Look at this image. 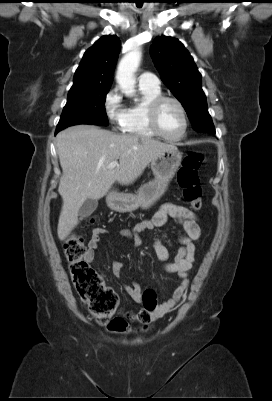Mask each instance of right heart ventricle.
<instances>
[{
    "label": "right heart ventricle",
    "instance_id": "e07e8e85",
    "mask_svg": "<svg viewBox=\"0 0 272 401\" xmlns=\"http://www.w3.org/2000/svg\"><path fill=\"white\" fill-rule=\"evenodd\" d=\"M140 92L142 100L127 108L126 118L121 130L126 134L141 138L157 137L148 122V107L152 100L162 95L161 89L160 87H140Z\"/></svg>",
    "mask_w": 272,
    "mask_h": 401
}]
</instances>
